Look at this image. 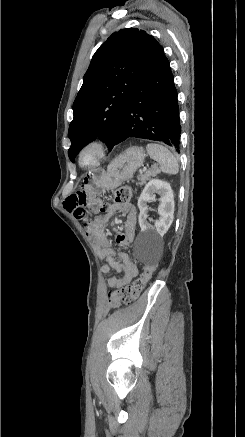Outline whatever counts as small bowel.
<instances>
[{
	"instance_id": "obj_1",
	"label": "small bowel",
	"mask_w": 245,
	"mask_h": 437,
	"mask_svg": "<svg viewBox=\"0 0 245 437\" xmlns=\"http://www.w3.org/2000/svg\"><path fill=\"white\" fill-rule=\"evenodd\" d=\"M79 189V191L73 193L66 199L64 207L68 212L72 213L75 218L82 221L83 227L91 237L95 252L101 259L106 261L101 271L104 274H108L111 269L115 270L116 274L107 278L106 284L109 287H124L138 273L136 262L126 253H116L111 248L110 238L104 228L106 217L93 220L91 215H87L85 209L87 206L85 191L88 189V186L82 183ZM92 205H94V203ZM114 211H121L126 215L123 232L116 235V241L122 246H127L132 243L135 238L137 209L132 203H115L110 207V213Z\"/></svg>"
}]
</instances>
